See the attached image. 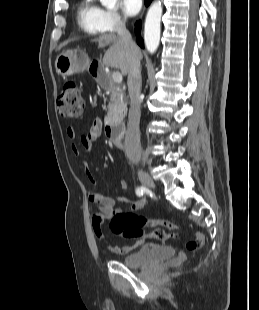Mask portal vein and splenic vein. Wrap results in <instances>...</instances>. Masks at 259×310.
Wrapping results in <instances>:
<instances>
[{
  "mask_svg": "<svg viewBox=\"0 0 259 310\" xmlns=\"http://www.w3.org/2000/svg\"><path fill=\"white\" fill-rule=\"evenodd\" d=\"M112 79L115 83H121L122 82V75L119 72H115L112 74Z\"/></svg>",
  "mask_w": 259,
  "mask_h": 310,
  "instance_id": "18ae733b",
  "label": "portal vein and splenic vein"
}]
</instances>
